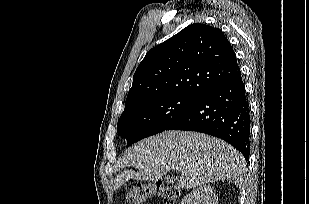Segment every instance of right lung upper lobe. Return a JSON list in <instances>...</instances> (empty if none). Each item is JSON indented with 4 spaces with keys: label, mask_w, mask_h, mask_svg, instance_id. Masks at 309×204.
<instances>
[{
    "label": "right lung upper lobe",
    "mask_w": 309,
    "mask_h": 204,
    "mask_svg": "<svg viewBox=\"0 0 309 204\" xmlns=\"http://www.w3.org/2000/svg\"><path fill=\"white\" fill-rule=\"evenodd\" d=\"M240 71L224 33L196 23L151 49L133 76L125 105L171 94L201 96Z\"/></svg>",
    "instance_id": "cb5924a9"
}]
</instances>
